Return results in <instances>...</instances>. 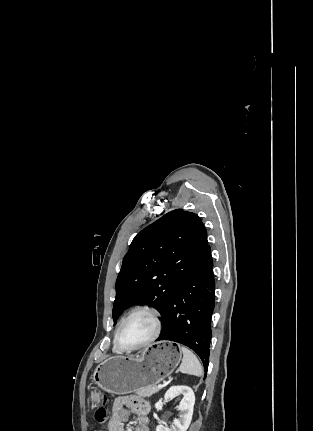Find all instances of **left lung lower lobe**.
<instances>
[{
	"instance_id": "0a47b994",
	"label": "left lung lower lobe",
	"mask_w": 313,
	"mask_h": 431,
	"mask_svg": "<svg viewBox=\"0 0 313 431\" xmlns=\"http://www.w3.org/2000/svg\"><path fill=\"white\" fill-rule=\"evenodd\" d=\"M214 300L213 262L207 246L192 272L168 301L161 318L163 329L157 339L190 347L201 358L205 370L209 364Z\"/></svg>"
}]
</instances>
